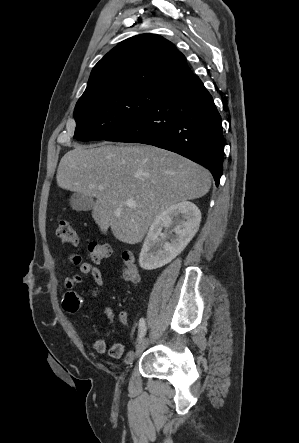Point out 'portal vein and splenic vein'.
Returning <instances> with one entry per match:
<instances>
[{"mask_svg":"<svg viewBox=\"0 0 299 443\" xmlns=\"http://www.w3.org/2000/svg\"><path fill=\"white\" fill-rule=\"evenodd\" d=\"M99 190H103V187H99ZM125 204L127 206H129V207H135L136 206V203L134 201H132V200L125 201Z\"/></svg>","mask_w":299,"mask_h":443,"instance_id":"1","label":"portal vein and splenic vein"}]
</instances>
